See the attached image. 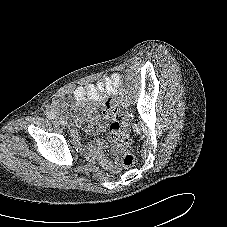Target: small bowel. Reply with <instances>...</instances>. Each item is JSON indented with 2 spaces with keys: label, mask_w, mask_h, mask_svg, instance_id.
Segmentation results:
<instances>
[{
  "label": "small bowel",
  "mask_w": 227,
  "mask_h": 227,
  "mask_svg": "<svg viewBox=\"0 0 227 227\" xmlns=\"http://www.w3.org/2000/svg\"><path fill=\"white\" fill-rule=\"evenodd\" d=\"M120 84V75L114 73L108 77L99 80L96 83H89L84 86H78L75 88L73 94L78 102L84 101L86 98L102 102L105 100L107 95L115 94L116 89ZM63 98H57L50 107V110H56L58 106L63 102ZM71 134L75 140L78 139V134L75 129L71 130ZM105 149V143L102 140L97 141V157L103 167L111 170L112 172H118V167L116 164L108 161L104 155L103 151ZM90 151V149H88Z\"/></svg>",
  "instance_id": "obj_1"
}]
</instances>
